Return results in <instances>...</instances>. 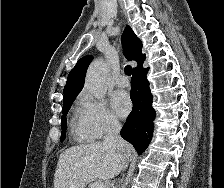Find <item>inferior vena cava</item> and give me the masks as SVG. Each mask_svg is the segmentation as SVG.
Returning a JSON list of instances; mask_svg holds the SVG:
<instances>
[{
    "mask_svg": "<svg viewBox=\"0 0 224 188\" xmlns=\"http://www.w3.org/2000/svg\"><path fill=\"white\" fill-rule=\"evenodd\" d=\"M121 126L119 122L115 119H111L108 122L106 136L104 138V145L117 148L123 154V169L126 168L127 162L130 157L129 144L126 143L120 136Z\"/></svg>",
    "mask_w": 224,
    "mask_h": 188,
    "instance_id": "inferior-vena-cava-1",
    "label": "inferior vena cava"
}]
</instances>
